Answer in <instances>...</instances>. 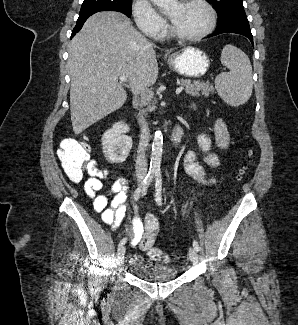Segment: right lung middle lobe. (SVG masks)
I'll return each instance as SVG.
<instances>
[{"label": "right lung middle lobe", "mask_w": 298, "mask_h": 325, "mask_svg": "<svg viewBox=\"0 0 298 325\" xmlns=\"http://www.w3.org/2000/svg\"><path fill=\"white\" fill-rule=\"evenodd\" d=\"M132 0H84L79 13L80 20L99 11L113 10L131 17Z\"/></svg>", "instance_id": "1"}]
</instances>
